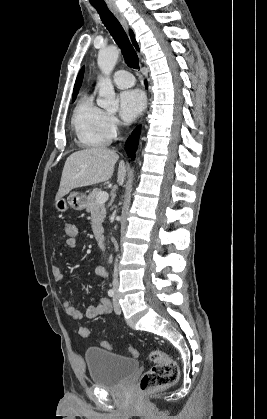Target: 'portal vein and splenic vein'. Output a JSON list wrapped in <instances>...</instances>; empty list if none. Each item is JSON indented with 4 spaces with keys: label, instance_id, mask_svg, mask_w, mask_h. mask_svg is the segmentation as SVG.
Returning a JSON list of instances; mask_svg holds the SVG:
<instances>
[{
    "label": "portal vein and splenic vein",
    "instance_id": "obj_1",
    "mask_svg": "<svg viewBox=\"0 0 267 419\" xmlns=\"http://www.w3.org/2000/svg\"><path fill=\"white\" fill-rule=\"evenodd\" d=\"M108 198H109V194L107 192H105V191L100 192L97 195V202L98 203H105L108 200Z\"/></svg>",
    "mask_w": 267,
    "mask_h": 419
}]
</instances>
